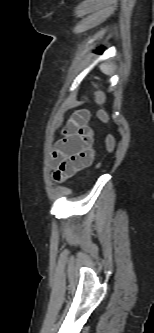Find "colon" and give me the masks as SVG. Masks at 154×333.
<instances>
[{"label":"colon","instance_id":"1","mask_svg":"<svg viewBox=\"0 0 154 333\" xmlns=\"http://www.w3.org/2000/svg\"><path fill=\"white\" fill-rule=\"evenodd\" d=\"M96 100L99 103H102L104 101V95L99 90L96 91ZM98 117H99V119L103 123H107L108 122V115H107V113L105 111H103V110L99 111ZM106 147H107L108 151H112L113 150V147H114V138H113L112 135H108L106 137Z\"/></svg>","mask_w":154,"mask_h":333}]
</instances>
